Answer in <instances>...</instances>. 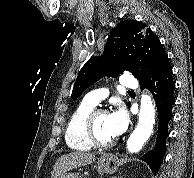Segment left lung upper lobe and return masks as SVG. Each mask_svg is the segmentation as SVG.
Instances as JSON below:
<instances>
[{"label": "left lung upper lobe", "mask_w": 194, "mask_h": 178, "mask_svg": "<svg viewBox=\"0 0 194 178\" xmlns=\"http://www.w3.org/2000/svg\"><path fill=\"white\" fill-rule=\"evenodd\" d=\"M166 56L165 49L151 29L139 21L125 20L111 31L103 55L91 58L81 68L72 99H77L103 76L115 78L128 71L140 81Z\"/></svg>", "instance_id": "left-lung-upper-lobe-1"}]
</instances>
